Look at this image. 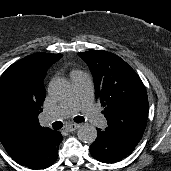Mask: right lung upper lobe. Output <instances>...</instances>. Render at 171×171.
<instances>
[{"instance_id":"right-lung-upper-lobe-1","label":"right lung upper lobe","mask_w":171,"mask_h":171,"mask_svg":"<svg viewBox=\"0 0 171 171\" xmlns=\"http://www.w3.org/2000/svg\"><path fill=\"white\" fill-rule=\"evenodd\" d=\"M62 54L35 53L8 67L0 78L10 81L17 90V109L5 113L0 109V141L19 164L36 155L55 132L39 125L38 115L46 96L44 78L47 70Z\"/></svg>"}]
</instances>
